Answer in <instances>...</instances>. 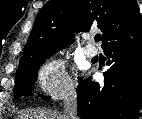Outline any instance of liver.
Here are the masks:
<instances>
[{
    "label": "liver",
    "instance_id": "obj_1",
    "mask_svg": "<svg viewBox=\"0 0 142 119\" xmlns=\"http://www.w3.org/2000/svg\"><path fill=\"white\" fill-rule=\"evenodd\" d=\"M24 117H31V119H64V116L47 111H37L31 113V115H25Z\"/></svg>",
    "mask_w": 142,
    "mask_h": 119
}]
</instances>
